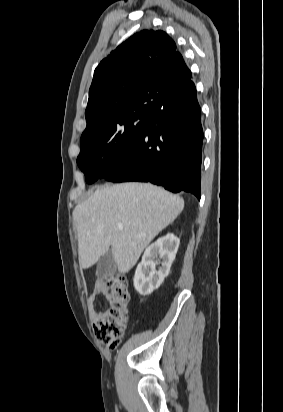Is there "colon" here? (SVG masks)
I'll return each instance as SVG.
<instances>
[{
	"label": "colon",
	"mask_w": 283,
	"mask_h": 412,
	"mask_svg": "<svg viewBox=\"0 0 283 412\" xmlns=\"http://www.w3.org/2000/svg\"><path fill=\"white\" fill-rule=\"evenodd\" d=\"M105 286L110 307L94 321L93 329L97 340L113 350L124 336L128 321L129 295L126 280L120 275L110 277Z\"/></svg>",
	"instance_id": "obj_1"
}]
</instances>
